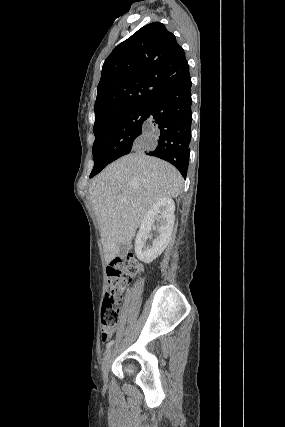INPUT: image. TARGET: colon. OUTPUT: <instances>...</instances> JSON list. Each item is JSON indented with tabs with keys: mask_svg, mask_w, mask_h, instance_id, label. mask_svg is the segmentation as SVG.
<instances>
[{
	"mask_svg": "<svg viewBox=\"0 0 285 427\" xmlns=\"http://www.w3.org/2000/svg\"><path fill=\"white\" fill-rule=\"evenodd\" d=\"M139 266L131 257L117 258L107 269V286L103 300L101 337L110 338L121 316L120 303L127 286L138 273Z\"/></svg>",
	"mask_w": 285,
	"mask_h": 427,
	"instance_id": "colon-1",
	"label": "colon"
}]
</instances>
